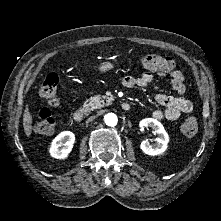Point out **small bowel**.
<instances>
[{
	"instance_id": "obj_1",
	"label": "small bowel",
	"mask_w": 221,
	"mask_h": 221,
	"mask_svg": "<svg viewBox=\"0 0 221 221\" xmlns=\"http://www.w3.org/2000/svg\"><path fill=\"white\" fill-rule=\"evenodd\" d=\"M172 89L176 93L175 96L156 93L155 101L161 106L153 111L152 116L158 120H176L182 114H189L193 110V104L185 98L186 86L185 75L180 70H174L170 74ZM153 76L146 72L139 77L126 76L122 80V85L127 88H143L151 83Z\"/></svg>"
}]
</instances>
